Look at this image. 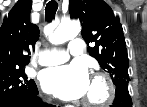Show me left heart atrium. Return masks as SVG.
I'll return each instance as SVG.
<instances>
[{"label": "left heart atrium", "mask_w": 147, "mask_h": 107, "mask_svg": "<svg viewBox=\"0 0 147 107\" xmlns=\"http://www.w3.org/2000/svg\"><path fill=\"white\" fill-rule=\"evenodd\" d=\"M90 83L86 68L80 64L47 69L42 75L43 89L64 100H74L85 96Z\"/></svg>", "instance_id": "39dd6f15"}]
</instances>
